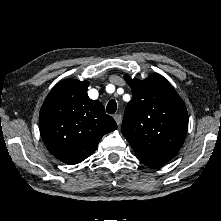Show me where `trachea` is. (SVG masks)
I'll return each instance as SVG.
<instances>
[{"mask_svg":"<svg viewBox=\"0 0 221 221\" xmlns=\"http://www.w3.org/2000/svg\"><path fill=\"white\" fill-rule=\"evenodd\" d=\"M117 110V103L115 100H110L107 104L106 111L108 114H114Z\"/></svg>","mask_w":221,"mask_h":221,"instance_id":"1","label":"trachea"}]
</instances>
